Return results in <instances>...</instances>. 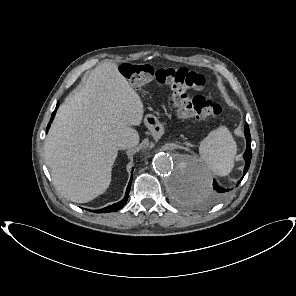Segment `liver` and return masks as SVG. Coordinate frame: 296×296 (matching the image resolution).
Returning a JSON list of instances; mask_svg holds the SVG:
<instances>
[{
	"label": "liver",
	"instance_id": "6515ba94",
	"mask_svg": "<svg viewBox=\"0 0 296 296\" xmlns=\"http://www.w3.org/2000/svg\"><path fill=\"white\" fill-rule=\"evenodd\" d=\"M144 105L115 63H101L57 111L44 146L56 189L77 203L103 194L110 185L117 142L139 134Z\"/></svg>",
	"mask_w": 296,
	"mask_h": 296
}]
</instances>
